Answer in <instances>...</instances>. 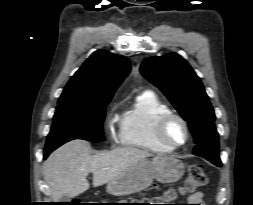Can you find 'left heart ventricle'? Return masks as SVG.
<instances>
[{
    "instance_id": "obj_1",
    "label": "left heart ventricle",
    "mask_w": 253,
    "mask_h": 205,
    "mask_svg": "<svg viewBox=\"0 0 253 205\" xmlns=\"http://www.w3.org/2000/svg\"><path fill=\"white\" fill-rule=\"evenodd\" d=\"M167 136L172 142H182L185 138L182 125L178 121H173L167 129Z\"/></svg>"
}]
</instances>
